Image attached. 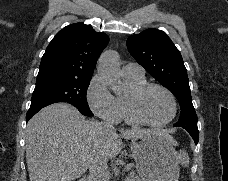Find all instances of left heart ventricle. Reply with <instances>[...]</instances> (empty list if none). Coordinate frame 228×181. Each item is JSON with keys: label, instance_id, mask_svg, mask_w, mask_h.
<instances>
[{"label": "left heart ventricle", "instance_id": "left-heart-ventricle-1", "mask_svg": "<svg viewBox=\"0 0 228 181\" xmlns=\"http://www.w3.org/2000/svg\"><path fill=\"white\" fill-rule=\"evenodd\" d=\"M144 116L153 121L165 119L170 113V102L167 96L158 89H151L140 104Z\"/></svg>", "mask_w": 228, "mask_h": 181}]
</instances>
